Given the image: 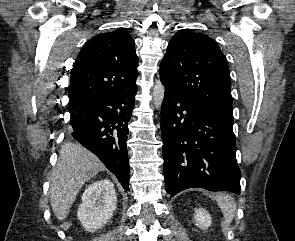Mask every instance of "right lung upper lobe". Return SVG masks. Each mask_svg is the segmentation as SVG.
<instances>
[{"instance_id": "obj_1", "label": "right lung upper lobe", "mask_w": 295, "mask_h": 241, "mask_svg": "<svg viewBox=\"0 0 295 241\" xmlns=\"http://www.w3.org/2000/svg\"><path fill=\"white\" fill-rule=\"evenodd\" d=\"M134 44L130 34L122 29L90 39L71 70L68 109L134 86L138 64Z\"/></svg>"}]
</instances>
